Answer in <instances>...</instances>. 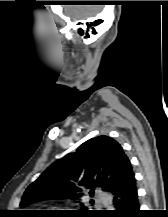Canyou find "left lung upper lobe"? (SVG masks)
Wrapping results in <instances>:
<instances>
[{"mask_svg":"<svg viewBox=\"0 0 168 217\" xmlns=\"http://www.w3.org/2000/svg\"><path fill=\"white\" fill-rule=\"evenodd\" d=\"M132 174L130 160L118 142L107 136L91 138L76 152L54 162L30 184L20 206L47 199H78L82 196V187L90 188V195L95 187L113 193ZM80 213L91 212L82 210Z\"/></svg>","mask_w":168,"mask_h":217,"instance_id":"5c2ea615","label":"left lung upper lobe"}]
</instances>
